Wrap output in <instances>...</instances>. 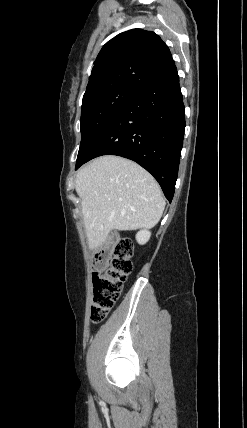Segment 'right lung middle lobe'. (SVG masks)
Masks as SVG:
<instances>
[{"instance_id":"obj_1","label":"right lung middle lobe","mask_w":247,"mask_h":428,"mask_svg":"<svg viewBox=\"0 0 247 428\" xmlns=\"http://www.w3.org/2000/svg\"><path fill=\"white\" fill-rule=\"evenodd\" d=\"M139 92L130 87L115 86L83 96L80 119L82 138L77 159L106 124Z\"/></svg>"}]
</instances>
